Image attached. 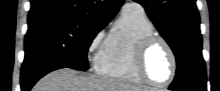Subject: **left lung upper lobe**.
Listing matches in <instances>:
<instances>
[{
    "mask_svg": "<svg viewBox=\"0 0 220 91\" xmlns=\"http://www.w3.org/2000/svg\"><path fill=\"white\" fill-rule=\"evenodd\" d=\"M141 4L162 37L172 48L176 76L169 89L206 90L199 13L195 0H135Z\"/></svg>",
    "mask_w": 220,
    "mask_h": 91,
    "instance_id": "1",
    "label": "left lung upper lobe"
}]
</instances>
